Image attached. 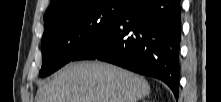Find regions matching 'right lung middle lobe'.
Wrapping results in <instances>:
<instances>
[{"label": "right lung middle lobe", "mask_w": 221, "mask_h": 102, "mask_svg": "<svg viewBox=\"0 0 221 102\" xmlns=\"http://www.w3.org/2000/svg\"><path fill=\"white\" fill-rule=\"evenodd\" d=\"M127 5L128 0H82L45 20L40 76L72 61L118 21Z\"/></svg>", "instance_id": "1"}]
</instances>
